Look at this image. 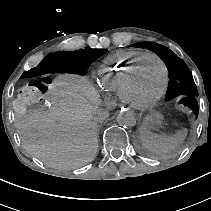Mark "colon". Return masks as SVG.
<instances>
[{
  "mask_svg": "<svg viewBox=\"0 0 211 211\" xmlns=\"http://www.w3.org/2000/svg\"><path fill=\"white\" fill-rule=\"evenodd\" d=\"M51 84V79L45 76L22 85L17 90L14 102L15 111L19 114H25L31 105L42 100Z\"/></svg>",
  "mask_w": 211,
  "mask_h": 211,
  "instance_id": "5ec220e1",
  "label": "colon"
}]
</instances>
